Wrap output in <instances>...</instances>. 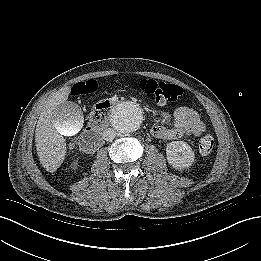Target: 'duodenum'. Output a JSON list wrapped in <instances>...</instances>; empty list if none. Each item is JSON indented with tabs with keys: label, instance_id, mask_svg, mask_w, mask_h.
<instances>
[{
	"label": "duodenum",
	"instance_id": "duodenum-1",
	"mask_svg": "<svg viewBox=\"0 0 261 261\" xmlns=\"http://www.w3.org/2000/svg\"><path fill=\"white\" fill-rule=\"evenodd\" d=\"M105 126L106 123L100 126H95L83 134L79 144L82 152L92 154L100 147L103 140L101 130L105 128Z\"/></svg>",
	"mask_w": 261,
	"mask_h": 261
}]
</instances>
